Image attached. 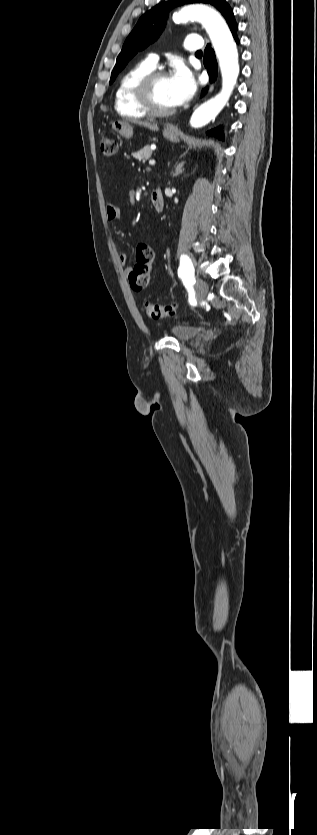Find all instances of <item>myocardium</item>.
I'll return each instance as SVG.
<instances>
[{"mask_svg": "<svg viewBox=\"0 0 317 835\" xmlns=\"http://www.w3.org/2000/svg\"><path fill=\"white\" fill-rule=\"evenodd\" d=\"M168 78V75L163 70H153L145 75L138 82L135 88L136 99L141 108L149 115L154 117H166L175 112V107L161 108L155 101L154 89L158 80Z\"/></svg>", "mask_w": 317, "mask_h": 835, "instance_id": "myocardium-1", "label": "myocardium"}]
</instances>
